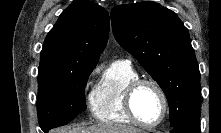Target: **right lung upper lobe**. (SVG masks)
Segmentation results:
<instances>
[{"label": "right lung upper lobe", "mask_w": 221, "mask_h": 133, "mask_svg": "<svg viewBox=\"0 0 221 133\" xmlns=\"http://www.w3.org/2000/svg\"><path fill=\"white\" fill-rule=\"evenodd\" d=\"M109 33V14L87 0H74L48 33L39 71L79 63H97Z\"/></svg>", "instance_id": "right-lung-upper-lobe-1"}]
</instances>
